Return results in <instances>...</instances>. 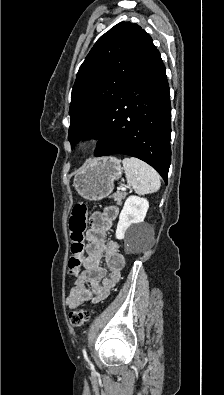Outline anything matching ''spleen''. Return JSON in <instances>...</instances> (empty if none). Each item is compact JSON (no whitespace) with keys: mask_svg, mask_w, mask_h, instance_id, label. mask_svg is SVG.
I'll list each match as a JSON object with an SVG mask.
<instances>
[{"mask_svg":"<svg viewBox=\"0 0 224 395\" xmlns=\"http://www.w3.org/2000/svg\"><path fill=\"white\" fill-rule=\"evenodd\" d=\"M122 163L127 183L137 194L144 195L159 190L160 177L147 163L134 157L124 158Z\"/></svg>","mask_w":224,"mask_h":395,"instance_id":"spleen-1","label":"spleen"}]
</instances>
